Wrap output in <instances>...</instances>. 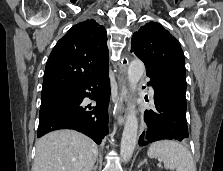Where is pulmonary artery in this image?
I'll return each instance as SVG.
<instances>
[{"instance_id":"1","label":"pulmonary artery","mask_w":223,"mask_h":171,"mask_svg":"<svg viewBox=\"0 0 223 171\" xmlns=\"http://www.w3.org/2000/svg\"><path fill=\"white\" fill-rule=\"evenodd\" d=\"M149 94H150L151 96L154 95V90H153L152 86H149Z\"/></svg>"}]
</instances>
